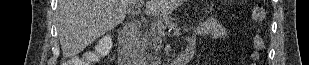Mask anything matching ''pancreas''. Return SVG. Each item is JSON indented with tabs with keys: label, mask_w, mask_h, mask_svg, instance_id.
<instances>
[{
	"label": "pancreas",
	"mask_w": 309,
	"mask_h": 65,
	"mask_svg": "<svg viewBox=\"0 0 309 65\" xmlns=\"http://www.w3.org/2000/svg\"><path fill=\"white\" fill-rule=\"evenodd\" d=\"M161 23L163 24L162 20ZM164 29H158L153 23L149 25L141 35L137 37L135 50L139 55L152 61L156 57L162 47V37Z\"/></svg>",
	"instance_id": "cf45deb5"
}]
</instances>
